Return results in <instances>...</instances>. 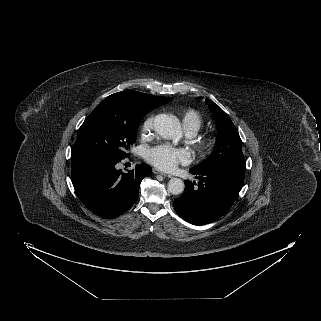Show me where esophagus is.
I'll return each instance as SVG.
<instances>
[{"label": "esophagus", "instance_id": "obj_1", "mask_svg": "<svg viewBox=\"0 0 321 321\" xmlns=\"http://www.w3.org/2000/svg\"><path fill=\"white\" fill-rule=\"evenodd\" d=\"M153 173H154V174L162 175V176H164V177H167V176L170 177L169 175H167L166 173L160 171V170L157 169V168H153Z\"/></svg>", "mask_w": 321, "mask_h": 321}]
</instances>
